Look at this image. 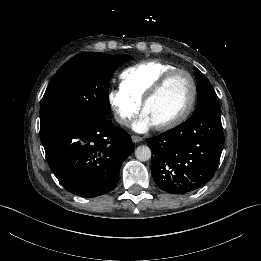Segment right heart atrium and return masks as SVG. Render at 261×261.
Here are the masks:
<instances>
[{
  "mask_svg": "<svg viewBox=\"0 0 261 261\" xmlns=\"http://www.w3.org/2000/svg\"><path fill=\"white\" fill-rule=\"evenodd\" d=\"M107 99L116 121L123 126L131 125L140 111L141 104L121 87L110 90Z\"/></svg>",
  "mask_w": 261,
  "mask_h": 261,
  "instance_id": "right-heart-atrium-1",
  "label": "right heart atrium"
}]
</instances>
